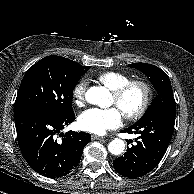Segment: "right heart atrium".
Here are the masks:
<instances>
[{
	"label": "right heart atrium",
	"instance_id": "d8ad5b80",
	"mask_svg": "<svg viewBox=\"0 0 194 194\" xmlns=\"http://www.w3.org/2000/svg\"><path fill=\"white\" fill-rule=\"evenodd\" d=\"M88 81L86 79L79 80L72 89V97L77 105H82L85 101Z\"/></svg>",
	"mask_w": 194,
	"mask_h": 194
}]
</instances>
